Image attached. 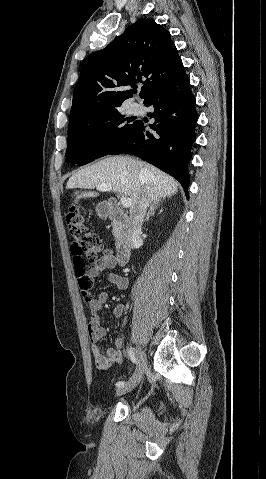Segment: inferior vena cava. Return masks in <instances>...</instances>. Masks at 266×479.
Listing matches in <instances>:
<instances>
[{"instance_id": "obj_1", "label": "inferior vena cava", "mask_w": 266, "mask_h": 479, "mask_svg": "<svg viewBox=\"0 0 266 479\" xmlns=\"http://www.w3.org/2000/svg\"><path fill=\"white\" fill-rule=\"evenodd\" d=\"M148 206L149 198L146 189H143L137 204L131 210V221L127 228V241L132 249L136 247L140 239L141 227Z\"/></svg>"}]
</instances>
